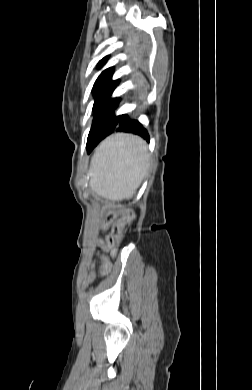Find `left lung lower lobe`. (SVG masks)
Returning <instances> with one entry per match:
<instances>
[{
  "label": "left lung lower lobe",
  "instance_id": "left-lung-lower-lobe-1",
  "mask_svg": "<svg viewBox=\"0 0 252 390\" xmlns=\"http://www.w3.org/2000/svg\"><path fill=\"white\" fill-rule=\"evenodd\" d=\"M113 131L134 133L149 142L148 132L138 120L131 119L127 114L116 116L115 119L111 114H105L93 119L87 139V152L90 153L103 138Z\"/></svg>",
  "mask_w": 252,
  "mask_h": 390
}]
</instances>
